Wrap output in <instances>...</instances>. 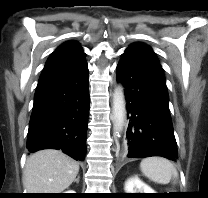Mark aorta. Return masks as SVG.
Segmentation results:
<instances>
[{"instance_id":"762f6f07","label":"aorta","mask_w":208,"mask_h":198,"mask_svg":"<svg viewBox=\"0 0 208 198\" xmlns=\"http://www.w3.org/2000/svg\"><path fill=\"white\" fill-rule=\"evenodd\" d=\"M126 107L124 90L121 85L116 87L113 95V119L117 133L123 130Z\"/></svg>"}]
</instances>
